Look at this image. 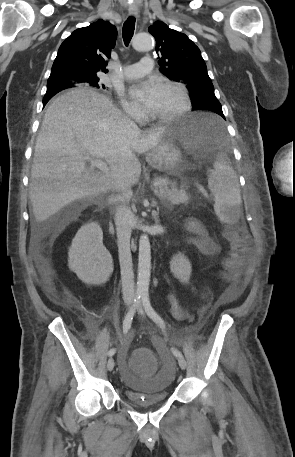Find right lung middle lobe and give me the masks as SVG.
Listing matches in <instances>:
<instances>
[{
  "label": "right lung middle lobe",
  "instance_id": "right-lung-middle-lobe-1",
  "mask_svg": "<svg viewBox=\"0 0 295 457\" xmlns=\"http://www.w3.org/2000/svg\"><path fill=\"white\" fill-rule=\"evenodd\" d=\"M98 82H99V78H98V77H93V78H90V79L88 80V83H87V84L90 85V86H93V87H97V88L102 87L103 89H105V85L99 84ZM72 87H74V86H72ZM49 92L51 93L50 96H53V95H55L56 93H58V91H55V90L49 91ZM49 99H50V97H47V101H48Z\"/></svg>",
  "mask_w": 295,
  "mask_h": 457
}]
</instances>
